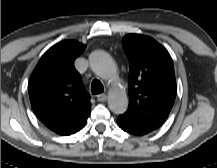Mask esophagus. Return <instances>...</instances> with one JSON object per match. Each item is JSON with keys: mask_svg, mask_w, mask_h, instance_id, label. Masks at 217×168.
<instances>
[{"mask_svg": "<svg viewBox=\"0 0 217 168\" xmlns=\"http://www.w3.org/2000/svg\"><path fill=\"white\" fill-rule=\"evenodd\" d=\"M96 97H97V101L99 102H105L107 100L106 94H98Z\"/></svg>", "mask_w": 217, "mask_h": 168, "instance_id": "esophagus-1", "label": "esophagus"}]
</instances>
